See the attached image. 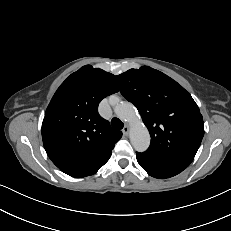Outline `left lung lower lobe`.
<instances>
[{
    "label": "left lung lower lobe",
    "instance_id": "1",
    "mask_svg": "<svg viewBox=\"0 0 231 231\" xmlns=\"http://www.w3.org/2000/svg\"><path fill=\"white\" fill-rule=\"evenodd\" d=\"M136 157L140 166L150 176L158 179L173 177L188 167L184 163L160 160L144 153L136 152Z\"/></svg>",
    "mask_w": 231,
    "mask_h": 231
}]
</instances>
